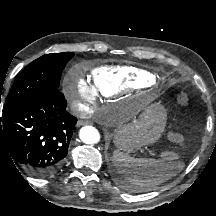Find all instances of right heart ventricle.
<instances>
[{"label":"right heart ventricle","mask_w":216,"mask_h":216,"mask_svg":"<svg viewBox=\"0 0 216 216\" xmlns=\"http://www.w3.org/2000/svg\"><path fill=\"white\" fill-rule=\"evenodd\" d=\"M91 79L96 93L110 97L140 88L149 81L150 74L132 66L105 65L92 69Z\"/></svg>","instance_id":"right-heart-ventricle-1"}]
</instances>
